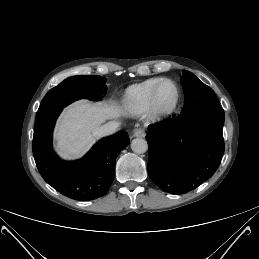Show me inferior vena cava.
<instances>
[{
    "mask_svg": "<svg viewBox=\"0 0 259 259\" xmlns=\"http://www.w3.org/2000/svg\"><path fill=\"white\" fill-rule=\"evenodd\" d=\"M119 127V122L117 121H109L104 125L96 128L93 131V134L97 137H104L113 134L117 128Z\"/></svg>",
    "mask_w": 259,
    "mask_h": 259,
    "instance_id": "1",
    "label": "inferior vena cava"
}]
</instances>
